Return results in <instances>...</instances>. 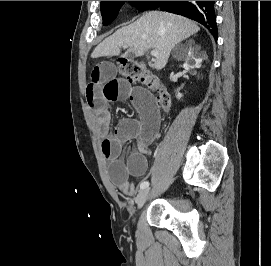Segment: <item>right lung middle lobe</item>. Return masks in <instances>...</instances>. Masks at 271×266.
Instances as JSON below:
<instances>
[{"label": "right lung middle lobe", "mask_w": 271, "mask_h": 266, "mask_svg": "<svg viewBox=\"0 0 271 266\" xmlns=\"http://www.w3.org/2000/svg\"><path fill=\"white\" fill-rule=\"evenodd\" d=\"M156 1H133V5L140 10H148ZM125 1H101V14L103 18V25H108L119 12Z\"/></svg>", "instance_id": "right-lung-middle-lobe-1"}]
</instances>
